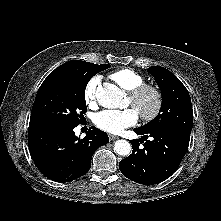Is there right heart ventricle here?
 <instances>
[{"mask_svg": "<svg viewBox=\"0 0 221 221\" xmlns=\"http://www.w3.org/2000/svg\"><path fill=\"white\" fill-rule=\"evenodd\" d=\"M109 78L126 91H131L145 83V77L138 72L123 68L112 72Z\"/></svg>", "mask_w": 221, "mask_h": 221, "instance_id": "1", "label": "right heart ventricle"}]
</instances>
